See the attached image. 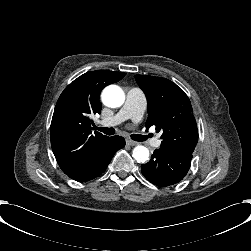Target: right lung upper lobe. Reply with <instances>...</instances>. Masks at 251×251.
Wrapping results in <instances>:
<instances>
[{"instance_id": "right-lung-upper-lobe-1", "label": "right lung upper lobe", "mask_w": 251, "mask_h": 251, "mask_svg": "<svg viewBox=\"0 0 251 251\" xmlns=\"http://www.w3.org/2000/svg\"><path fill=\"white\" fill-rule=\"evenodd\" d=\"M126 73L91 71L69 84L60 95L52 117L50 136L54 156L65 174H70L95 158L108 142L99 132L91 135V117L100 114L102 89L121 80Z\"/></svg>"}]
</instances>
